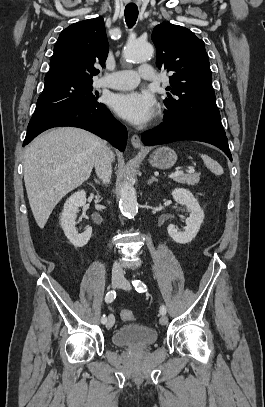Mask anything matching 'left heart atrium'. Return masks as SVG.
<instances>
[{
    "label": "left heart atrium",
    "mask_w": 265,
    "mask_h": 407,
    "mask_svg": "<svg viewBox=\"0 0 265 407\" xmlns=\"http://www.w3.org/2000/svg\"><path fill=\"white\" fill-rule=\"evenodd\" d=\"M110 105L117 115L135 125L151 120L156 109L153 96L137 91L114 94Z\"/></svg>",
    "instance_id": "obj_1"
}]
</instances>
